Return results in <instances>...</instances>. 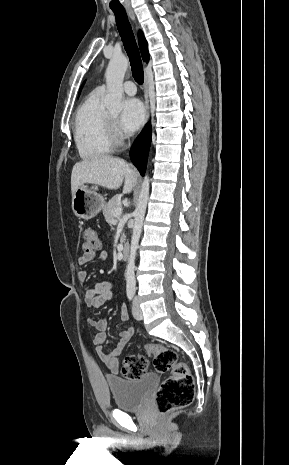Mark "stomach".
Masks as SVG:
<instances>
[{
  "label": "stomach",
  "mask_w": 289,
  "mask_h": 465,
  "mask_svg": "<svg viewBox=\"0 0 289 465\" xmlns=\"http://www.w3.org/2000/svg\"><path fill=\"white\" fill-rule=\"evenodd\" d=\"M104 204V198L85 185H81L72 196V210L79 219H92L103 209Z\"/></svg>",
  "instance_id": "0dacf381"
}]
</instances>
